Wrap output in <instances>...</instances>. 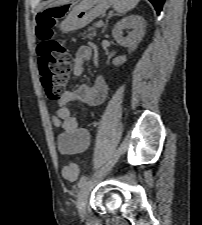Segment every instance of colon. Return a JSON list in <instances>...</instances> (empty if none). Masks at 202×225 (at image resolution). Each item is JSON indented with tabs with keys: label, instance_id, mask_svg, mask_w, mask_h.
Wrapping results in <instances>:
<instances>
[{
	"label": "colon",
	"instance_id": "5ec220e1",
	"mask_svg": "<svg viewBox=\"0 0 202 225\" xmlns=\"http://www.w3.org/2000/svg\"><path fill=\"white\" fill-rule=\"evenodd\" d=\"M60 9L52 8L40 11L36 15V36L39 38L40 54L39 74L46 97L49 101L60 99L70 77L72 59L62 43L52 38V28L59 20ZM67 179L77 178L78 167L67 164L63 167Z\"/></svg>",
	"mask_w": 202,
	"mask_h": 225
}]
</instances>
